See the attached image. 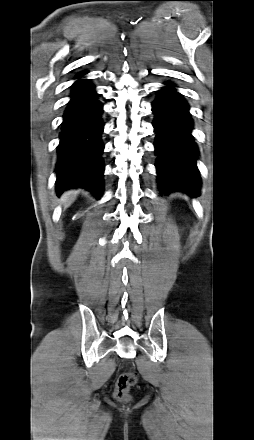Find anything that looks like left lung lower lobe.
<instances>
[{
	"instance_id": "0a47b994",
	"label": "left lung lower lobe",
	"mask_w": 254,
	"mask_h": 440,
	"mask_svg": "<svg viewBox=\"0 0 254 440\" xmlns=\"http://www.w3.org/2000/svg\"><path fill=\"white\" fill-rule=\"evenodd\" d=\"M166 85L152 104L158 185L164 193L182 190L197 195L201 180L189 106L173 84Z\"/></svg>"
}]
</instances>
